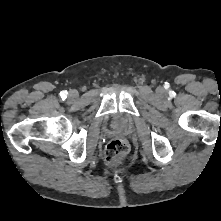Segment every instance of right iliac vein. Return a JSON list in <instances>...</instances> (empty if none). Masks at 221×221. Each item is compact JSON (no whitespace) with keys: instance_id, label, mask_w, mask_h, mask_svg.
I'll list each match as a JSON object with an SVG mask.
<instances>
[{"instance_id":"63e3f726","label":"right iliac vein","mask_w":221,"mask_h":221,"mask_svg":"<svg viewBox=\"0 0 221 221\" xmlns=\"http://www.w3.org/2000/svg\"><path fill=\"white\" fill-rule=\"evenodd\" d=\"M78 97V93L76 92V91H71L70 93H69V98L71 99V100H74V99H76Z\"/></svg>"}]
</instances>
